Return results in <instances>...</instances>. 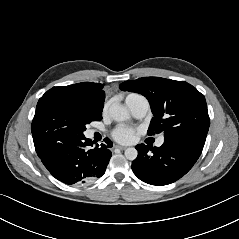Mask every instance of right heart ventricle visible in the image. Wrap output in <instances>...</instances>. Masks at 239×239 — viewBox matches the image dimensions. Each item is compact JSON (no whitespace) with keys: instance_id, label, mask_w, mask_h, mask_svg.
Instances as JSON below:
<instances>
[{"instance_id":"obj_1","label":"right heart ventricle","mask_w":239,"mask_h":239,"mask_svg":"<svg viewBox=\"0 0 239 239\" xmlns=\"http://www.w3.org/2000/svg\"><path fill=\"white\" fill-rule=\"evenodd\" d=\"M133 95H136V94H130V95H128V97L133 96Z\"/></svg>"}]
</instances>
